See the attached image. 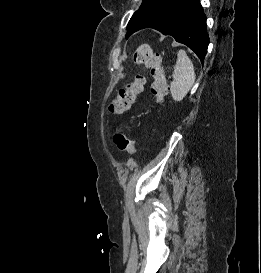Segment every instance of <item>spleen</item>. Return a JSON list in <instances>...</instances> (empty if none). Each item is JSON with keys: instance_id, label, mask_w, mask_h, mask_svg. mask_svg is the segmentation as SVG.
<instances>
[{"instance_id": "obj_1", "label": "spleen", "mask_w": 261, "mask_h": 273, "mask_svg": "<svg viewBox=\"0 0 261 273\" xmlns=\"http://www.w3.org/2000/svg\"><path fill=\"white\" fill-rule=\"evenodd\" d=\"M172 76L174 79L170 84L171 96L174 101L179 102L186 97L196 79L193 63L183 49L177 54Z\"/></svg>"}]
</instances>
